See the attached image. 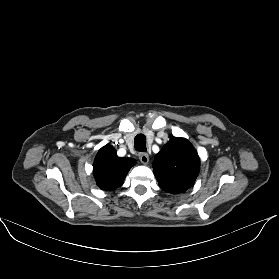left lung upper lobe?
<instances>
[{"instance_id":"1","label":"left lung upper lobe","mask_w":279,"mask_h":279,"mask_svg":"<svg viewBox=\"0 0 279 279\" xmlns=\"http://www.w3.org/2000/svg\"><path fill=\"white\" fill-rule=\"evenodd\" d=\"M152 166L161 189L177 194L194 184L200 170V159L188 140L172 137L156 154Z\"/></svg>"}]
</instances>
